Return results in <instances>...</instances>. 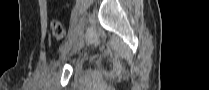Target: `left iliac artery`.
Here are the masks:
<instances>
[{
  "instance_id": "left-iliac-artery-1",
  "label": "left iliac artery",
  "mask_w": 209,
  "mask_h": 90,
  "mask_svg": "<svg viewBox=\"0 0 209 90\" xmlns=\"http://www.w3.org/2000/svg\"><path fill=\"white\" fill-rule=\"evenodd\" d=\"M81 5H75V8L73 9V12L75 14L72 15V19H71V22H70V27L68 28V31H67V36H72V33H73V29L76 28L77 26V21L78 19L81 17Z\"/></svg>"
}]
</instances>
